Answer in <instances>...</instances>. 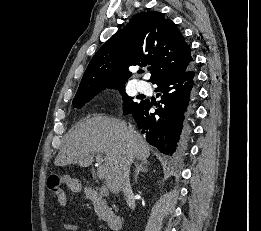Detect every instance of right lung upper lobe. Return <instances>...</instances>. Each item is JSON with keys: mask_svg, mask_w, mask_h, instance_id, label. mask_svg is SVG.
<instances>
[{"mask_svg": "<svg viewBox=\"0 0 261 231\" xmlns=\"http://www.w3.org/2000/svg\"><path fill=\"white\" fill-rule=\"evenodd\" d=\"M151 65L153 84L185 72L193 64L190 47L177 26L160 12L135 15L93 56L76 95L124 86L132 65Z\"/></svg>", "mask_w": 261, "mask_h": 231, "instance_id": "right-lung-upper-lobe-1", "label": "right lung upper lobe"}]
</instances>
